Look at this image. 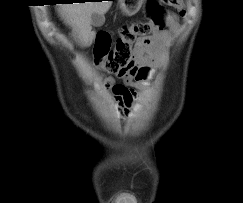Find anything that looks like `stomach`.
I'll return each mask as SVG.
<instances>
[{
    "instance_id": "obj_1",
    "label": "stomach",
    "mask_w": 243,
    "mask_h": 203,
    "mask_svg": "<svg viewBox=\"0 0 243 203\" xmlns=\"http://www.w3.org/2000/svg\"><path fill=\"white\" fill-rule=\"evenodd\" d=\"M143 2L144 0H119L120 9L128 16L136 14L140 10Z\"/></svg>"
}]
</instances>
